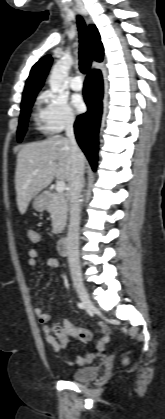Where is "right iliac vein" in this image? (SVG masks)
Instances as JSON below:
<instances>
[{"label": "right iliac vein", "instance_id": "right-iliac-vein-1", "mask_svg": "<svg viewBox=\"0 0 165 419\" xmlns=\"http://www.w3.org/2000/svg\"><path fill=\"white\" fill-rule=\"evenodd\" d=\"M73 284H74L75 290H76L83 306L87 310H90L93 307V304L91 302V299L88 295V292L86 290V287H85L82 279L81 278H74Z\"/></svg>", "mask_w": 165, "mask_h": 419}]
</instances>
